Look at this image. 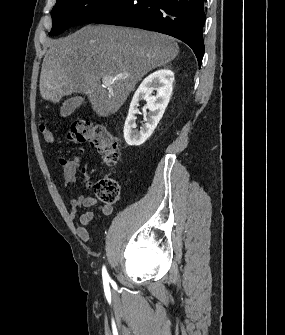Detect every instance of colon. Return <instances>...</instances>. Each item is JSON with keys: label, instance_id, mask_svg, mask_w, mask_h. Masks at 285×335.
Wrapping results in <instances>:
<instances>
[{"label": "colon", "instance_id": "1", "mask_svg": "<svg viewBox=\"0 0 285 335\" xmlns=\"http://www.w3.org/2000/svg\"><path fill=\"white\" fill-rule=\"evenodd\" d=\"M40 132L47 143L54 142L53 133L46 125H40ZM67 137L76 144L88 142L101 154L107 165H114L119 159V141L101 123L77 120L71 125ZM93 187L96 197L104 204L112 205L118 201L120 185L115 178L105 176L97 180Z\"/></svg>", "mask_w": 285, "mask_h": 335}]
</instances>
